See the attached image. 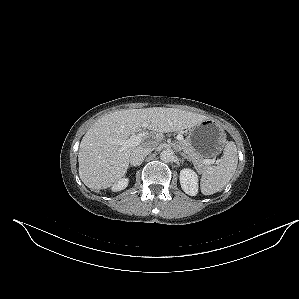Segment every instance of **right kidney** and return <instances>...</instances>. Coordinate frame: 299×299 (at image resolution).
Here are the masks:
<instances>
[{
	"instance_id": "obj_1",
	"label": "right kidney",
	"mask_w": 299,
	"mask_h": 299,
	"mask_svg": "<svg viewBox=\"0 0 299 299\" xmlns=\"http://www.w3.org/2000/svg\"><path fill=\"white\" fill-rule=\"evenodd\" d=\"M128 178H122L112 186V191L117 192L125 189L128 186Z\"/></svg>"
}]
</instances>
